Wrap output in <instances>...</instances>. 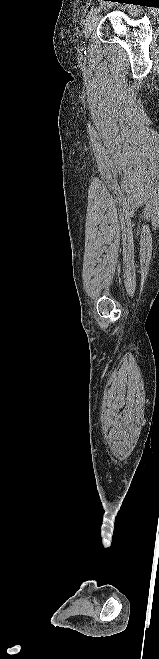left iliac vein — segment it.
<instances>
[{
  "mask_svg": "<svg viewBox=\"0 0 159 659\" xmlns=\"http://www.w3.org/2000/svg\"><path fill=\"white\" fill-rule=\"evenodd\" d=\"M100 19H101L100 12H97L90 19H88L84 30L86 38L89 37V35L95 30Z\"/></svg>",
  "mask_w": 159,
  "mask_h": 659,
  "instance_id": "obj_1",
  "label": "left iliac vein"
}]
</instances>
